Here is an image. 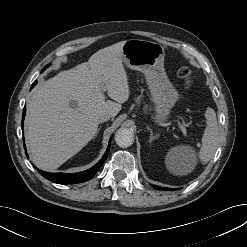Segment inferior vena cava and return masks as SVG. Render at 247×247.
Listing matches in <instances>:
<instances>
[{
	"mask_svg": "<svg viewBox=\"0 0 247 247\" xmlns=\"http://www.w3.org/2000/svg\"><path fill=\"white\" fill-rule=\"evenodd\" d=\"M110 118H111V115H110V114H101V115L98 117V122H99V123L106 122V121H108Z\"/></svg>",
	"mask_w": 247,
	"mask_h": 247,
	"instance_id": "1",
	"label": "inferior vena cava"
}]
</instances>
